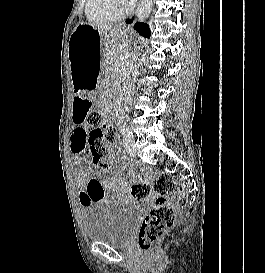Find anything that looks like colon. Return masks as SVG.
<instances>
[{"mask_svg": "<svg viewBox=\"0 0 265 273\" xmlns=\"http://www.w3.org/2000/svg\"><path fill=\"white\" fill-rule=\"evenodd\" d=\"M87 121L94 127L89 137L93 160L104 169L111 170L104 144L112 143L114 127L109 124L105 131L99 129L102 115L98 111H92ZM130 193L137 201L155 195L153 207L142 221L137 237L139 247L149 250L173 226L178 211L187 204V197L176 180L164 172H147L146 180L132 185Z\"/></svg>", "mask_w": 265, "mask_h": 273, "instance_id": "colon-1", "label": "colon"}]
</instances>
